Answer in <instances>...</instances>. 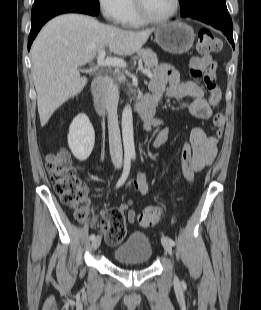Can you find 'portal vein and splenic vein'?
Wrapping results in <instances>:
<instances>
[{
	"label": "portal vein and splenic vein",
	"mask_w": 261,
	"mask_h": 310,
	"mask_svg": "<svg viewBox=\"0 0 261 310\" xmlns=\"http://www.w3.org/2000/svg\"><path fill=\"white\" fill-rule=\"evenodd\" d=\"M105 56H106L105 49H101L99 51V55L97 58L98 66H115V67H120V68L126 67V62L124 60L119 59V58H114V57H108L105 59ZM143 74L148 76L149 78H152V73L148 69H144Z\"/></svg>",
	"instance_id": "portal-vein-and-splenic-vein-1"
}]
</instances>
